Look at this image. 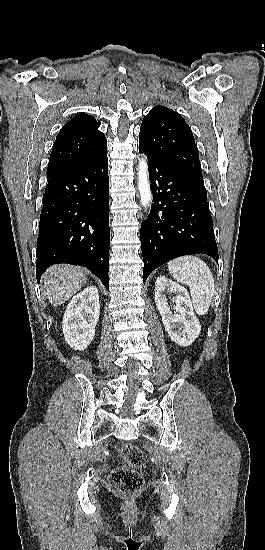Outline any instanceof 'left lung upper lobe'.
Returning <instances> with one entry per match:
<instances>
[{
  "mask_svg": "<svg viewBox=\"0 0 265 550\" xmlns=\"http://www.w3.org/2000/svg\"><path fill=\"white\" fill-rule=\"evenodd\" d=\"M139 147L204 184L192 131L177 112L153 107L142 121Z\"/></svg>",
  "mask_w": 265,
  "mask_h": 550,
  "instance_id": "1",
  "label": "left lung upper lobe"
}]
</instances>
